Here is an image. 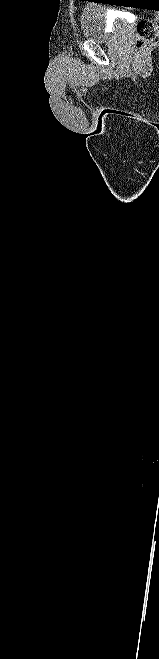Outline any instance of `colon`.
Returning <instances> with one entry per match:
<instances>
[{"label": "colon", "instance_id": "1", "mask_svg": "<svg viewBox=\"0 0 159 659\" xmlns=\"http://www.w3.org/2000/svg\"><path fill=\"white\" fill-rule=\"evenodd\" d=\"M159 36V27L154 19H144L138 22L133 42L135 49H142L147 42Z\"/></svg>", "mask_w": 159, "mask_h": 659}]
</instances>
